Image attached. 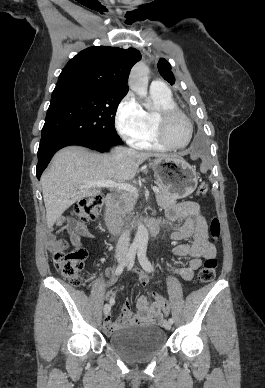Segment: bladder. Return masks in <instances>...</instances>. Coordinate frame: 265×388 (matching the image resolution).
Masks as SVG:
<instances>
[{"instance_id": "31cf9c89", "label": "bladder", "mask_w": 265, "mask_h": 388, "mask_svg": "<svg viewBox=\"0 0 265 388\" xmlns=\"http://www.w3.org/2000/svg\"><path fill=\"white\" fill-rule=\"evenodd\" d=\"M166 340V333L157 325L129 327L110 335L109 347L124 358L143 361L164 346Z\"/></svg>"}]
</instances>
